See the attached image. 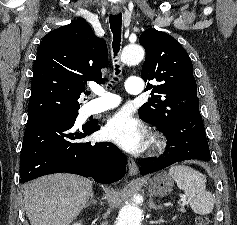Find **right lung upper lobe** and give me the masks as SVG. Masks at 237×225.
Returning <instances> with one entry per match:
<instances>
[{
    "label": "right lung upper lobe",
    "mask_w": 237,
    "mask_h": 225,
    "mask_svg": "<svg viewBox=\"0 0 237 225\" xmlns=\"http://www.w3.org/2000/svg\"><path fill=\"white\" fill-rule=\"evenodd\" d=\"M106 42L83 20L49 32L39 45L33 65L28 119L78 112L87 81L102 83L107 65Z\"/></svg>",
    "instance_id": "1"
}]
</instances>
